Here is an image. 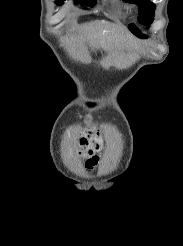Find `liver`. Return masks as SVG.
<instances>
[{"label":"liver","instance_id":"liver-1","mask_svg":"<svg viewBox=\"0 0 183 246\" xmlns=\"http://www.w3.org/2000/svg\"><path fill=\"white\" fill-rule=\"evenodd\" d=\"M84 30L93 48L109 49L117 47L120 40H125V36L118 29L111 25L103 27L98 21L85 24Z\"/></svg>","mask_w":183,"mask_h":246}]
</instances>
